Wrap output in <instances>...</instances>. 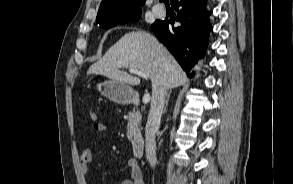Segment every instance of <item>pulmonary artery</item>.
Here are the masks:
<instances>
[{
    "instance_id": "pulmonary-artery-1",
    "label": "pulmonary artery",
    "mask_w": 293,
    "mask_h": 184,
    "mask_svg": "<svg viewBox=\"0 0 293 184\" xmlns=\"http://www.w3.org/2000/svg\"><path fill=\"white\" fill-rule=\"evenodd\" d=\"M153 11L158 16H164L165 15V8L162 5H159V4L155 5L153 7Z\"/></svg>"
}]
</instances>
